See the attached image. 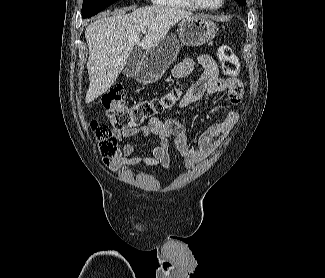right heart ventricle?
<instances>
[{"label": "right heart ventricle", "instance_id": "right-heart-ventricle-1", "mask_svg": "<svg viewBox=\"0 0 325 278\" xmlns=\"http://www.w3.org/2000/svg\"><path fill=\"white\" fill-rule=\"evenodd\" d=\"M156 5L168 8L196 10L198 7L191 0H152Z\"/></svg>", "mask_w": 325, "mask_h": 278}]
</instances>
